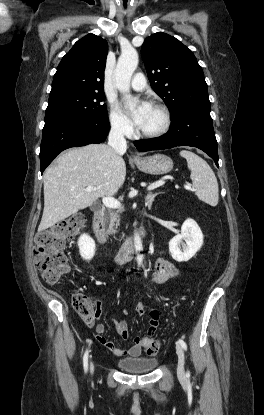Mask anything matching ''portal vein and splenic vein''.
<instances>
[{"instance_id":"obj_1","label":"portal vein and splenic vein","mask_w":264,"mask_h":415,"mask_svg":"<svg viewBox=\"0 0 264 415\" xmlns=\"http://www.w3.org/2000/svg\"><path fill=\"white\" fill-rule=\"evenodd\" d=\"M163 184H165V181H158V182L153 183L150 186H148L147 190H152V189L157 188V187H159ZM184 188L187 189V190H191V184L187 183L186 185H184ZM93 190H95L93 187H87L85 189L86 192H91ZM102 202L108 208L117 209V208L121 207L120 202L117 201L114 198L103 197Z\"/></svg>"}]
</instances>
